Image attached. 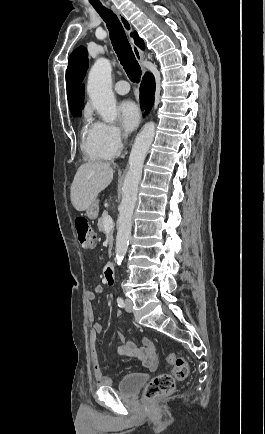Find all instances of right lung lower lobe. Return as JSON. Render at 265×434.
Listing matches in <instances>:
<instances>
[{
    "label": "right lung lower lobe",
    "mask_w": 265,
    "mask_h": 434,
    "mask_svg": "<svg viewBox=\"0 0 265 434\" xmlns=\"http://www.w3.org/2000/svg\"><path fill=\"white\" fill-rule=\"evenodd\" d=\"M155 83L150 73H146L140 87L141 108L149 112L154 100Z\"/></svg>",
    "instance_id": "right-lung-lower-lobe-1"
}]
</instances>
